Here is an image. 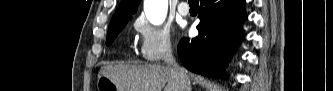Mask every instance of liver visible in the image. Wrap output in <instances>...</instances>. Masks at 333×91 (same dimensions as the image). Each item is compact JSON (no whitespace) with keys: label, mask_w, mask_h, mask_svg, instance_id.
I'll return each mask as SVG.
<instances>
[{"label":"liver","mask_w":333,"mask_h":91,"mask_svg":"<svg viewBox=\"0 0 333 91\" xmlns=\"http://www.w3.org/2000/svg\"><path fill=\"white\" fill-rule=\"evenodd\" d=\"M182 69V68H181ZM190 84L191 74L182 69ZM106 76L122 91H180L179 83L169 67L160 64L129 65L108 64L101 67L98 78Z\"/></svg>","instance_id":"liver-1"}]
</instances>
